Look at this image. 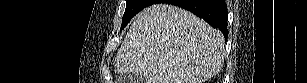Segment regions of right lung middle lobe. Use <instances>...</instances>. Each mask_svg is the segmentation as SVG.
<instances>
[{
    "instance_id": "dd1d6c3e",
    "label": "right lung middle lobe",
    "mask_w": 307,
    "mask_h": 83,
    "mask_svg": "<svg viewBox=\"0 0 307 83\" xmlns=\"http://www.w3.org/2000/svg\"><path fill=\"white\" fill-rule=\"evenodd\" d=\"M153 0H127L125 13L122 19L121 30L142 9L152 4Z\"/></svg>"
}]
</instances>
